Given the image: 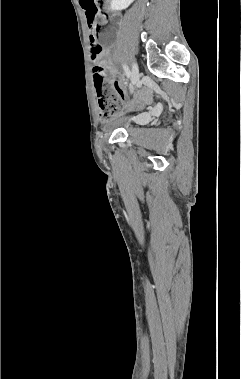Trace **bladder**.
I'll list each match as a JSON object with an SVG mask.
<instances>
[{"mask_svg": "<svg viewBox=\"0 0 241 379\" xmlns=\"http://www.w3.org/2000/svg\"><path fill=\"white\" fill-rule=\"evenodd\" d=\"M140 125L141 123L139 122V116L134 114H123L115 118L107 129H122L130 132Z\"/></svg>", "mask_w": 241, "mask_h": 379, "instance_id": "bladder-1", "label": "bladder"}]
</instances>
